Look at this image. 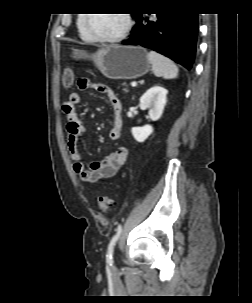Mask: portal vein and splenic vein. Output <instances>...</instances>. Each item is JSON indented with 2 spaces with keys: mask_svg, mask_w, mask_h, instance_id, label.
<instances>
[{
  "mask_svg": "<svg viewBox=\"0 0 252 303\" xmlns=\"http://www.w3.org/2000/svg\"><path fill=\"white\" fill-rule=\"evenodd\" d=\"M136 85H137V83H136L135 81H133V82L131 83V86H132V87H136Z\"/></svg>",
  "mask_w": 252,
  "mask_h": 303,
  "instance_id": "obj_1",
  "label": "portal vein and splenic vein"
}]
</instances>
